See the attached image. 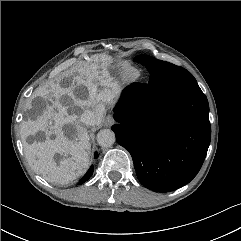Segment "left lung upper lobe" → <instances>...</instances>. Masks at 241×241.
Returning a JSON list of instances; mask_svg holds the SVG:
<instances>
[{
  "instance_id": "5c2ea615",
  "label": "left lung upper lobe",
  "mask_w": 241,
  "mask_h": 241,
  "mask_svg": "<svg viewBox=\"0 0 241 241\" xmlns=\"http://www.w3.org/2000/svg\"><path fill=\"white\" fill-rule=\"evenodd\" d=\"M135 62H139L151 73L162 74L169 84L171 94L177 95L184 91L197 87L198 84L194 76L186 69L174 64L157 60L148 55H139L134 58Z\"/></svg>"
}]
</instances>
